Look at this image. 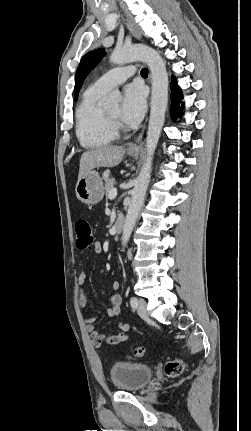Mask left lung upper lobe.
I'll return each mask as SVG.
<instances>
[{"mask_svg": "<svg viewBox=\"0 0 251 431\" xmlns=\"http://www.w3.org/2000/svg\"><path fill=\"white\" fill-rule=\"evenodd\" d=\"M105 56V49L100 48L85 54L80 61L76 71L75 82V100L78 97L79 90L83 84L84 79L88 73L98 64V62Z\"/></svg>", "mask_w": 251, "mask_h": 431, "instance_id": "1", "label": "left lung upper lobe"}]
</instances>
